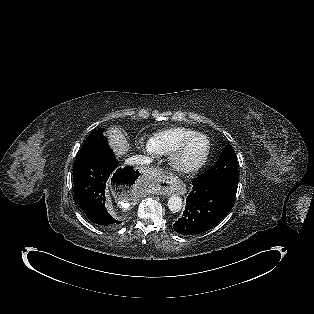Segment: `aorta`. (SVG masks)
<instances>
[{
	"instance_id": "762f6f07",
	"label": "aorta",
	"mask_w": 314,
	"mask_h": 314,
	"mask_svg": "<svg viewBox=\"0 0 314 314\" xmlns=\"http://www.w3.org/2000/svg\"><path fill=\"white\" fill-rule=\"evenodd\" d=\"M168 208L171 212L176 213L182 209L183 203L182 199L178 195H172L168 199Z\"/></svg>"
}]
</instances>
